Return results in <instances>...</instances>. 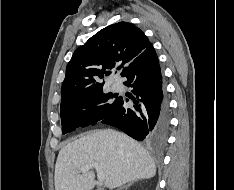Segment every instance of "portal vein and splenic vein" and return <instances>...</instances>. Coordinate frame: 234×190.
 <instances>
[{"mask_svg":"<svg viewBox=\"0 0 234 190\" xmlns=\"http://www.w3.org/2000/svg\"><path fill=\"white\" fill-rule=\"evenodd\" d=\"M93 168L97 172V178H98L99 182H104V180H105V174L102 171V169L100 168V166L98 164H96V163H94V164H88V165L83 166L80 169V172L81 173H85V172H87V171H89L90 169H93Z\"/></svg>","mask_w":234,"mask_h":190,"instance_id":"18ae733b","label":"portal vein and splenic vein"}]
</instances>
